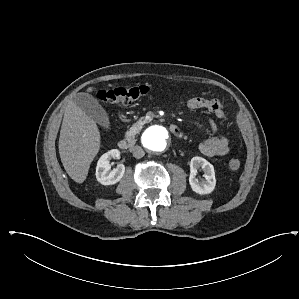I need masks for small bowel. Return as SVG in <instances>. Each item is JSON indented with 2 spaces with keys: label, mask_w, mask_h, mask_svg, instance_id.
Segmentation results:
<instances>
[{
  "label": "small bowel",
  "mask_w": 299,
  "mask_h": 299,
  "mask_svg": "<svg viewBox=\"0 0 299 299\" xmlns=\"http://www.w3.org/2000/svg\"><path fill=\"white\" fill-rule=\"evenodd\" d=\"M189 110L205 109L210 112L214 118L223 120L226 118L225 103L222 98H203L193 97L186 102ZM209 128L211 136L199 144L200 151L208 157L223 156L229 153L230 146L226 137L215 136L216 123L214 119H209Z\"/></svg>",
  "instance_id": "c3829d8e"
}]
</instances>
